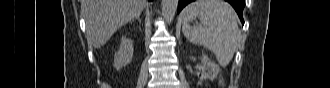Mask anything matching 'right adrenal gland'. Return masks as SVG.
I'll return each instance as SVG.
<instances>
[{
	"label": "right adrenal gland",
	"instance_id": "right-adrenal-gland-1",
	"mask_svg": "<svg viewBox=\"0 0 330 88\" xmlns=\"http://www.w3.org/2000/svg\"><path fill=\"white\" fill-rule=\"evenodd\" d=\"M135 19H136V20H138V22H139V23H141V19H140V17H139V16H138V17H136Z\"/></svg>",
	"mask_w": 330,
	"mask_h": 88
}]
</instances>
